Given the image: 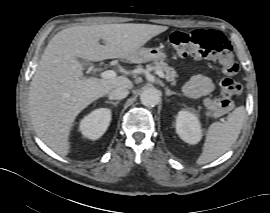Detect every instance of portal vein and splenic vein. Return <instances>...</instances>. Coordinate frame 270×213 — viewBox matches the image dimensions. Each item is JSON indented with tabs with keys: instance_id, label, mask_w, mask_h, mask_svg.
I'll return each mask as SVG.
<instances>
[{
	"instance_id": "1",
	"label": "portal vein and splenic vein",
	"mask_w": 270,
	"mask_h": 213,
	"mask_svg": "<svg viewBox=\"0 0 270 213\" xmlns=\"http://www.w3.org/2000/svg\"><path fill=\"white\" fill-rule=\"evenodd\" d=\"M155 73L161 78L165 77L164 73L162 71H160V70H156ZM100 76L103 79H111V78L116 77V72L113 71V70H106V71L102 72L100 74Z\"/></svg>"
}]
</instances>
